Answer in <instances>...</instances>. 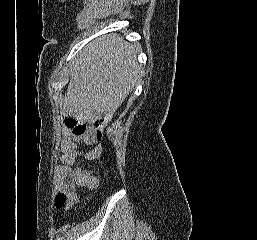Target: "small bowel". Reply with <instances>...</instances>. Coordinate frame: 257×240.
I'll use <instances>...</instances> for the list:
<instances>
[{
	"mask_svg": "<svg viewBox=\"0 0 257 240\" xmlns=\"http://www.w3.org/2000/svg\"><path fill=\"white\" fill-rule=\"evenodd\" d=\"M99 138L94 128H89L85 133L76 135L70 130H65L61 141V164L58 165L54 173V185L59 194H69L76 190L85 176L84 168L79 164L81 161H90L97 157L103 147L98 145L93 149L82 152L80 144L93 145Z\"/></svg>",
	"mask_w": 257,
	"mask_h": 240,
	"instance_id": "obj_1",
	"label": "small bowel"
}]
</instances>
